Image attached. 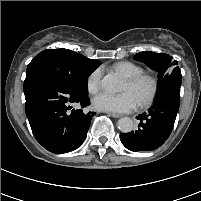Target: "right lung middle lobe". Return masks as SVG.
Listing matches in <instances>:
<instances>
[{
	"label": "right lung middle lobe",
	"mask_w": 201,
	"mask_h": 201,
	"mask_svg": "<svg viewBox=\"0 0 201 201\" xmlns=\"http://www.w3.org/2000/svg\"><path fill=\"white\" fill-rule=\"evenodd\" d=\"M100 64L68 49L44 50L27 66L26 75L47 73L67 85L76 95L87 97V77Z\"/></svg>",
	"instance_id": "dd1d6c3e"
}]
</instances>
